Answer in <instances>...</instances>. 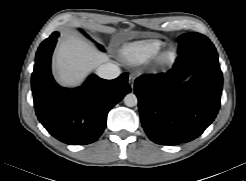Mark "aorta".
<instances>
[{"label":"aorta","mask_w":246,"mask_h":181,"mask_svg":"<svg viewBox=\"0 0 246 181\" xmlns=\"http://www.w3.org/2000/svg\"><path fill=\"white\" fill-rule=\"evenodd\" d=\"M137 103L138 99L134 93H129L124 97V104L128 107H134Z\"/></svg>","instance_id":"aorta-1"}]
</instances>
